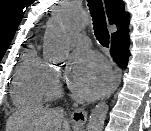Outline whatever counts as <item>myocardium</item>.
Instances as JSON below:
<instances>
[{"label":"myocardium","instance_id":"1","mask_svg":"<svg viewBox=\"0 0 151 131\" xmlns=\"http://www.w3.org/2000/svg\"><path fill=\"white\" fill-rule=\"evenodd\" d=\"M58 94H60V86L54 79H51L47 85V95L55 97Z\"/></svg>","mask_w":151,"mask_h":131}]
</instances>
